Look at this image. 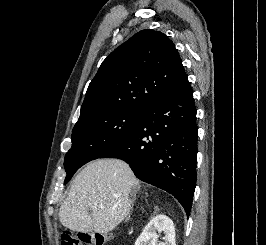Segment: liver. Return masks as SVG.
<instances>
[{
	"mask_svg": "<svg viewBox=\"0 0 266 245\" xmlns=\"http://www.w3.org/2000/svg\"><path fill=\"white\" fill-rule=\"evenodd\" d=\"M137 185L138 179L124 161H91L75 177L59 209V221L77 233H109L126 219Z\"/></svg>",
	"mask_w": 266,
	"mask_h": 245,
	"instance_id": "6515ba94",
	"label": "liver"
}]
</instances>
